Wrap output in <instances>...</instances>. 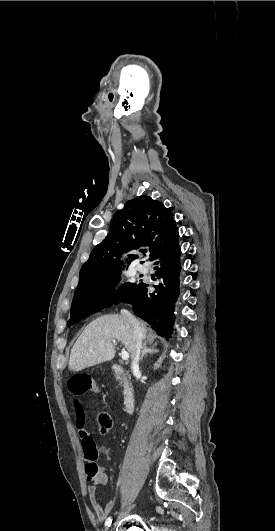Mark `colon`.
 Segmentation results:
<instances>
[{
    "mask_svg": "<svg viewBox=\"0 0 275 531\" xmlns=\"http://www.w3.org/2000/svg\"><path fill=\"white\" fill-rule=\"evenodd\" d=\"M90 377V376H83ZM99 431L101 434H106L112 427V419L107 412L99 411L96 415Z\"/></svg>",
    "mask_w": 275,
    "mask_h": 531,
    "instance_id": "colon-1",
    "label": "colon"
}]
</instances>
